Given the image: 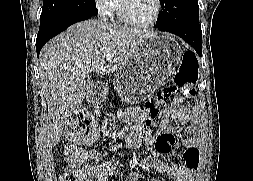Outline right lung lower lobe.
Masks as SVG:
<instances>
[{
	"mask_svg": "<svg viewBox=\"0 0 253 181\" xmlns=\"http://www.w3.org/2000/svg\"><path fill=\"white\" fill-rule=\"evenodd\" d=\"M92 16H94V14L87 12H71L54 20L40 23L36 39L37 55L39 56L40 50L48 40L66 30L70 25L86 20Z\"/></svg>",
	"mask_w": 253,
	"mask_h": 181,
	"instance_id": "98d812e1",
	"label": "right lung lower lobe"
}]
</instances>
